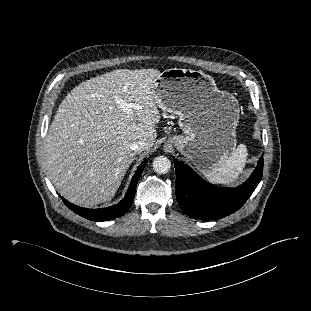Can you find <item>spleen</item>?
Segmentation results:
<instances>
[{"label": "spleen", "mask_w": 311, "mask_h": 311, "mask_svg": "<svg viewBox=\"0 0 311 311\" xmlns=\"http://www.w3.org/2000/svg\"><path fill=\"white\" fill-rule=\"evenodd\" d=\"M247 156L246 146L240 144L222 164L204 171L203 175L214 184H233L242 174Z\"/></svg>", "instance_id": "1"}]
</instances>
